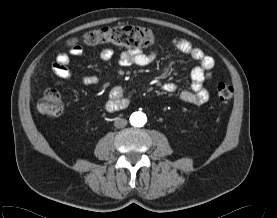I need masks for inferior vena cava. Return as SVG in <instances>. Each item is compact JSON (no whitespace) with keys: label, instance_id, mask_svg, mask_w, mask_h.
<instances>
[{"label":"inferior vena cava","instance_id":"602c4592","mask_svg":"<svg viewBox=\"0 0 277 218\" xmlns=\"http://www.w3.org/2000/svg\"><path fill=\"white\" fill-rule=\"evenodd\" d=\"M127 125V120L124 118L116 119L114 122V126L116 128H124Z\"/></svg>","mask_w":277,"mask_h":218}]
</instances>
